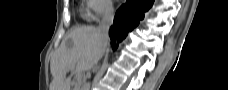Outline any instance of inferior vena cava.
<instances>
[{"instance_id":"602c4592","label":"inferior vena cava","mask_w":228,"mask_h":90,"mask_svg":"<svg viewBox=\"0 0 228 90\" xmlns=\"http://www.w3.org/2000/svg\"><path fill=\"white\" fill-rule=\"evenodd\" d=\"M113 19H114L113 7H112V5H108L104 11L102 20L98 26V33H99L100 39L102 40L103 43L108 42V39H109L108 32H109L110 26L113 23Z\"/></svg>"}]
</instances>
